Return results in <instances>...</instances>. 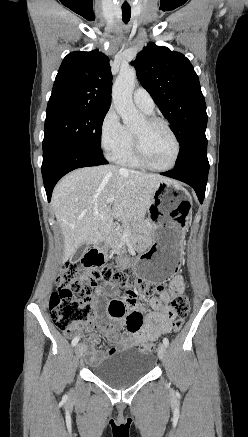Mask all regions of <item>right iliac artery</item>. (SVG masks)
Segmentation results:
<instances>
[{
	"label": "right iliac artery",
	"mask_w": 248,
	"mask_h": 437,
	"mask_svg": "<svg viewBox=\"0 0 248 437\" xmlns=\"http://www.w3.org/2000/svg\"><path fill=\"white\" fill-rule=\"evenodd\" d=\"M80 340V337L79 336H77V337H75L73 340H72V346H75V345H77V343H78V341Z\"/></svg>",
	"instance_id": "obj_1"
}]
</instances>
